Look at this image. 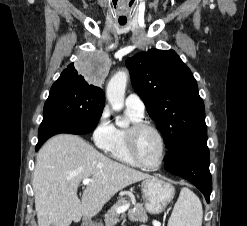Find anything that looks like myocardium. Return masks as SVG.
<instances>
[{
	"label": "myocardium",
	"instance_id": "f54148a6",
	"mask_svg": "<svg viewBox=\"0 0 247 226\" xmlns=\"http://www.w3.org/2000/svg\"><path fill=\"white\" fill-rule=\"evenodd\" d=\"M151 130L153 131L157 137L160 140V144H161V156L159 161L156 164L153 165H149L144 163L138 153H137V149H136V139H137V135L143 131V130ZM126 146H127V150L128 153L131 157V159L140 167L145 168V169H157L159 168L163 163L164 160L166 158L167 155V146H166V141L165 138L163 136V134L161 133V131L154 126L153 124H150L148 122H144V121H139V122H135L132 123L126 130Z\"/></svg>",
	"mask_w": 247,
	"mask_h": 226
}]
</instances>
